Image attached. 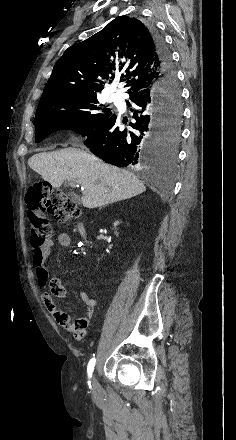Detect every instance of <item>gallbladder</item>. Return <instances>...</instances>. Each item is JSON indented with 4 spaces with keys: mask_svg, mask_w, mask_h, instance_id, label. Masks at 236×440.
<instances>
[{
    "mask_svg": "<svg viewBox=\"0 0 236 440\" xmlns=\"http://www.w3.org/2000/svg\"><path fill=\"white\" fill-rule=\"evenodd\" d=\"M72 197L76 198L74 195H71Z\"/></svg>",
    "mask_w": 236,
    "mask_h": 440,
    "instance_id": "bac80fb5",
    "label": "gallbladder"
}]
</instances>
